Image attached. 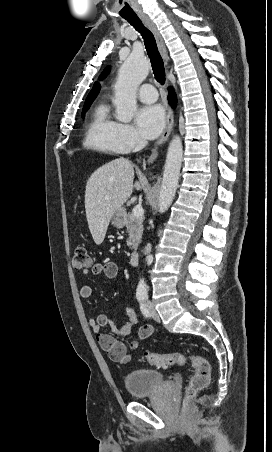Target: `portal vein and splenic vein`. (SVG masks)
<instances>
[{"label": "portal vein and splenic vein", "mask_w": 272, "mask_h": 452, "mask_svg": "<svg viewBox=\"0 0 272 452\" xmlns=\"http://www.w3.org/2000/svg\"><path fill=\"white\" fill-rule=\"evenodd\" d=\"M132 213L136 217L142 216L144 213L142 205L138 204V205L134 206Z\"/></svg>", "instance_id": "18ae733b"}]
</instances>
